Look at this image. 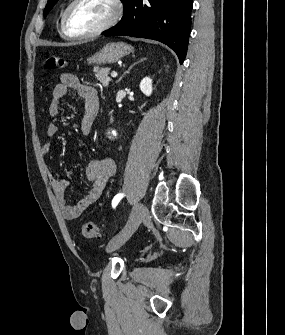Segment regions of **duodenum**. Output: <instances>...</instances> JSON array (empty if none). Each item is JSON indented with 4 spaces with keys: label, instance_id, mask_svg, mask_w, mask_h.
Instances as JSON below:
<instances>
[{
    "label": "duodenum",
    "instance_id": "1",
    "mask_svg": "<svg viewBox=\"0 0 285 335\" xmlns=\"http://www.w3.org/2000/svg\"><path fill=\"white\" fill-rule=\"evenodd\" d=\"M93 113L96 114V113H97V109H95V110L93 111Z\"/></svg>",
    "mask_w": 285,
    "mask_h": 335
}]
</instances>
